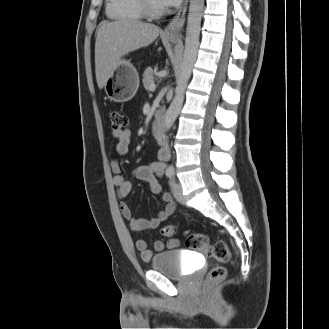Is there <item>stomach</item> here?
<instances>
[{"label":"stomach","instance_id":"0dacf381","mask_svg":"<svg viewBox=\"0 0 329 329\" xmlns=\"http://www.w3.org/2000/svg\"><path fill=\"white\" fill-rule=\"evenodd\" d=\"M171 42L174 37L168 38ZM139 87V75L127 60H120L107 79L104 89L107 97L114 102L124 103L131 100Z\"/></svg>","mask_w":329,"mask_h":329}]
</instances>
